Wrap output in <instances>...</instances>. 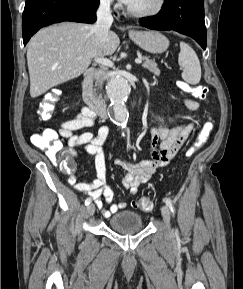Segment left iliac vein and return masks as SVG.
Here are the masks:
<instances>
[{"label":"left iliac vein","instance_id":"obj_1","mask_svg":"<svg viewBox=\"0 0 243 289\" xmlns=\"http://www.w3.org/2000/svg\"><path fill=\"white\" fill-rule=\"evenodd\" d=\"M161 213L164 220L165 225L167 226L168 230L171 229L170 227V210L167 206L161 207Z\"/></svg>","mask_w":243,"mask_h":289}]
</instances>
